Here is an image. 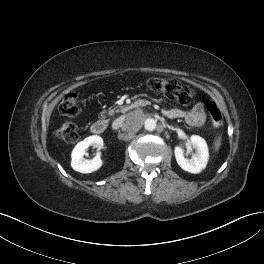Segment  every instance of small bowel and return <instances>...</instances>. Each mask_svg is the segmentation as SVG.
<instances>
[{"label":"small bowel","mask_w":264,"mask_h":264,"mask_svg":"<svg viewBox=\"0 0 264 264\" xmlns=\"http://www.w3.org/2000/svg\"><path fill=\"white\" fill-rule=\"evenodd\" d=\"M164 114L169 118H181L190 126H201L205 123L206 115L202 103H196L191 110L168 109Z\"/></svg>","instance_id":"small-bowel-1"}]
</instances>
